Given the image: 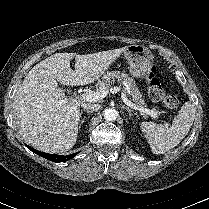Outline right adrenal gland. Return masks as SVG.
I'll return each instance as SVG.
<instances>
[{"label": "right adrenal gland", "instance_id": "2a0ac1e0", "mask_svg": "<svg viewBox=\"0 0 209 209\" xmlns=\"http://www.w3.org/2000/svg\"><path fill=\"white\" fill-rule=\"evenodd\" d=\"M87 113H89V111H86ZM83 114V111H81L80 112V118H81V115ZM84 119L85 118H83L82 120H81V122H80V125H79V128L81 127V125L84 123Z\"/></svg>", "mask_w": 209, "mask_h": 209}]
</instances>
